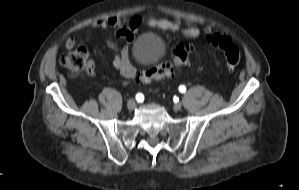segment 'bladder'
Masks as SVG:
<instances>
[{"label":"bladder","mask_w":299,"mask_h":190,"mask_svg":"<svg viewBox=\"0 0 299 190\" xmlns=\"http://www.w3.org/2000/svg\"><path fill=\"white\" fill-rule=\"evenodd\" d=\"M163 45L158 36L148 34L140 38L134 45V61L146 67L157 62L162 54Z\"/></svg>","instance_id":"obj_1"}]
</instances>
